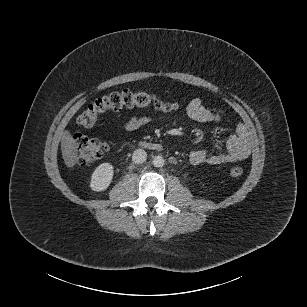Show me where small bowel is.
Segmentation results:
<instances>
[{
  "instance_id": "obj_1",
  "label": "small bowel",
  "mask_w": 307,
  "mask_h": 307,
  "mask_svg": "<svg viewBox=\"0 0 307 307\" xmlns=\"http://www.w3.org/2000/svg\"><path fill=\"white\" fill-rule=\"evenodd\" d=\"M187 114L198 122L223 123L226 115L224 111L207 105L199 98H194L187 106ZM152 121L149 115H131L124 123L126 131L139 130ZM251 151V142L246 127L239 123L226 142V151L209 152L208 150H193L189 160L193 165H219L234 163L247 158Z\"/></svg>"
}]
</instances>
